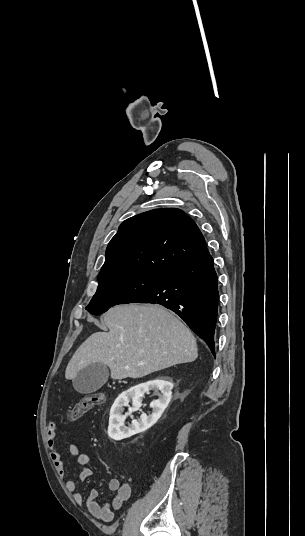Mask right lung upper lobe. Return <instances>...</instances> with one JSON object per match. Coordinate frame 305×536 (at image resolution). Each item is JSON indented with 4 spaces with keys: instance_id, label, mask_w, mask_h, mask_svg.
<instances>
[{
    "instance_id": "1",
    "label": "right lung upper lobe",
    "mask_w": 305,
    "mask_h": 536,
    "mask_svg": "<svg viewBox=\"0 0 305 536\" xmlns=\"http://www.w3.org/2000/svg\"><path fill=\"white\" fill-rule=\"evenodd\" d=\"M208 255L205 239L189 216L176 208L154 209L120 225L98 280L133 272L169 274Z\"/></svg>"
}]
</instances>
